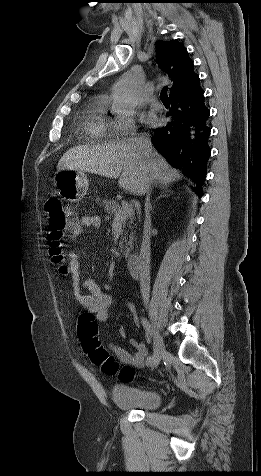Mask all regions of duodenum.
<instances>
[{"instance_id":"duodenum-1","label":"duodenum","mask_w":261,"mask_h":476,"mask_svg":"<svg viewBox=\"0 0 261 476\" xmlns=\"http://www.w3.org/2000/svg\"><path fill=\"white\" fill-rule=\"evenodd\" d=\"M127 268L133 278H138L140 274V258L138 254H130L127 258Z\"/></svg>"}]
</instances>
